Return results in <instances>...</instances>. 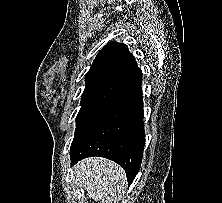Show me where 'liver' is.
Instances as JSON below:
<instances>
[{
    "label": "liver",
    "instance_id": "1",
    "mask_svg": "<svg viewBox=\"0 0 222 203\" xmlns=\"http://www.w3.org/2000/svg\"><path fill=\"white\" fill-rule=\"evenodd\" d=\"M74 174L89 198L102 203H117V196L124 193L127 183L125 171L118 164L99 157L80 161Z\"/></svg>",
    "mask_w": 222,
    "mask_h": 203
}]
</instances>
